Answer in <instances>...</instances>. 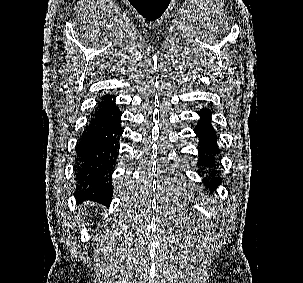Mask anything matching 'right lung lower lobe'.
<instances>
[{"mask_svg": "<svg viewBox=\"0 0 303 283\" xmlns=\"http://www.w3.org/2000/svg\"><path fill=\"white\" fill-rule=\"evenodd\" d=\"M120 117L115 97L104 96L79 140L77 200L96 201L104 205L111 202L113 188L110 171L118 155L119 136L123 133Z\"/></svg>", "mask_w": 303, "mask_h": 283, "instance_id": "98d812e1", "label": "right lung lower lobe"}]
</instances>
